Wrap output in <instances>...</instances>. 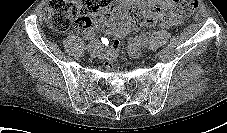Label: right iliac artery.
<instances>
[{
    "label": "right iliac artery",
    "instance_id": "right-iliac-artery-1",
    "mask_svg": "<svg viewBox=\"0 0 227 133\" xmlns=\"http://www.w3.org/2000/svg\"><path fill=\"white\" fill-rule=\"evenodd\" d=\"M87 48L89 50H91L93 48H99L100 51H105V46L103 43H90L87 45Z\"/></svg>",
    "mask_w": 227,
    "mask_h": 133
}]
</instances>
